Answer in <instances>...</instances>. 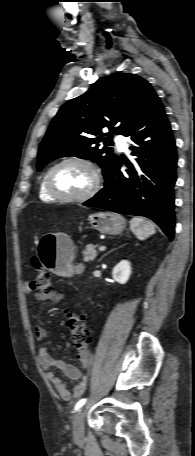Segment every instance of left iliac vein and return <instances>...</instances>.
I'll return each mask as SVG.
<instances>
[{
	"label": "left iliac vein",
	"instance_id": "1",
	"mask_svg": "<svg viewBox=\"0 0 195 456\" xmlns=\"http://www.w3.org/2000/svg\"><path fill=\"white\" fill-rule=\"evenodd\" d=\"M84 410H79L73 419V437L80 441L84 436Z\"/></svg>",
	"mask_w": 195,
	"mask_h": 456
}]
</instances>
